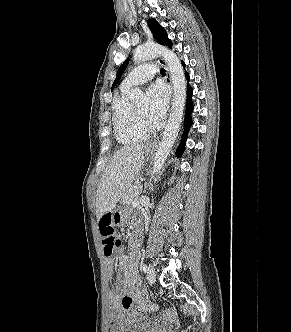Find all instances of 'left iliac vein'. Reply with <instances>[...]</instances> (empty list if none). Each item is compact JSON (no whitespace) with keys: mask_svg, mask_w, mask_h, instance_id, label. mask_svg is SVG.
<instances>
[{"mask_svg":"<svg viewBox=\"0 0 291 332\" xmlns=\"http://www.w3.org/2000/svg\"><path fill=\"white\" fill-rule=\"evenodd\" d=\"M148 268L149 269L147 271V279H148L149 283L152 284L156 280V273H155L154 267L151 264L148 266Z\"/></svg>","mask_w":291,"mask_h":332,"instance_id":"obj_1","label":"left iliac vein"}]
</instances>
